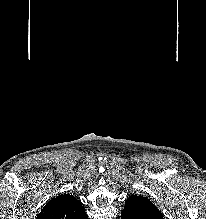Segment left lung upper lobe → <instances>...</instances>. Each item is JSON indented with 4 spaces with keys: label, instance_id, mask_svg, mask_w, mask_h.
Masks as SVG:
<instances>
[{
    "label": "left lung upper lobe",
    "instance_id": "1",
    "mask_svg": "<svg viewBox=\"0 0 206 219\" xmlns=\"http://www.w3.org/2000/svg\"><path fill=\"white\" fill-rule=\"evenodd\" d=\"M131 198H136V199L142 200L145 203V207L149 208L148 212L150 214L162 217V215H161L160 211L157 209V207L155 205H153L152 202L149 199H147L146 197L138 196V195H131L128 199H131Z\"/></svg>",
    "mask_w": 206,
    "mask_h": 219
}]
</instances>
